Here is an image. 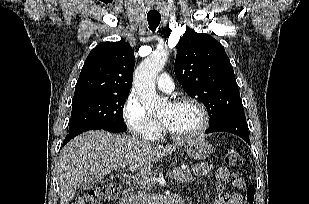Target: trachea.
Masks as SVG:
<instances>
[{
	"instance_id": "obj_1",
	"label": "trachea",
	"mask_w": 309,
	"mask_h": 204,
	"mask_svg": "<svg viewBox=\"0 0 309 204\" xmlns=\"http://www.w3.org/2000/svg\"><path fill=\"white\" fill-rule=\"evenodd\" d=\"M161 20L160 15H147V21L152 31L156 30Z\"/></svg>"
}]
</instances>
